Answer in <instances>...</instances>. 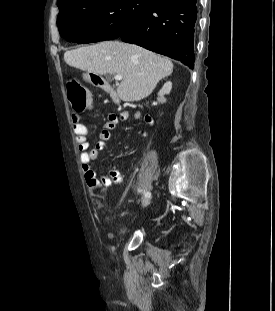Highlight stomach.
Returning a JSON list of instances; mask_svg holds the SVG:
<instances>
[{"instance_id": "obj_1", "label": "stomach", "mask_w": 275, "mask_h": 311, "mask_svg": "<svg viewBox=\"0 0 275 311\" xmlns=\"http://www.w3.org/2000/svg\"><path fill=\"white\" fill-rule=\"evenodd\" d=\"M89 76H90L89 72H88V73H84V74H83V79H84L85 81H87V82L92 83V82L90 81V79H89Z\"/></svg>"}]
</instances>
